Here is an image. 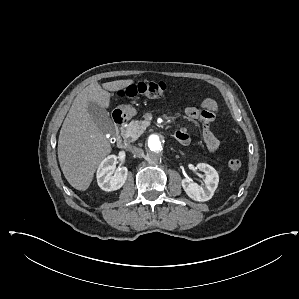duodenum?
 I'll return each instance as SVG.
<instances>
[{"label":"duodenum","mask_w":299,"mask_h":299,"mask_svg":"<svg viewBox=\"0 0 299 299\" xmlns=\"http://www.w3.org/2000/svg\"><path fill=\"white\" fill-rule=\"evenodd\" d=\"M112 119L116 131V145L118 148L124 149L127 147V141L123 136V129L126 123L125 113L120 110H116L112 113Z\"/></svg>","instance_id":"obj_1"}]
</instances>
